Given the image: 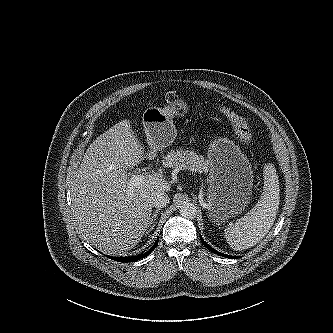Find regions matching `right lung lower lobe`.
Here are the masks:
<instances>
[{"label":"right lung lower lobe","instance_id":"right-lung-lower-lobe-1","mask_svg":"<svg viewBox=\"0 0 333 333\" xmlns=\"http://www.w3.org/2000/svg\"><path fill=\"white\" fill-rule=\"evenodd\" d=\"M158 244V239L155 242V244L152 246V248H150L147 252H145L144 254L141 255H137V256H128V257H112V256H108L110 259L114 260V261H119V262H133V261H138L139 259L148 256L157 246Z\"/></svg>","mask_w":333,"mask_h":333}]
</instances>
